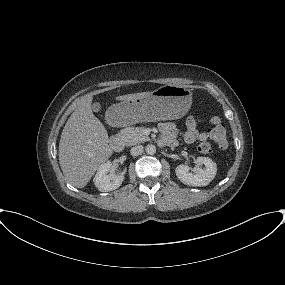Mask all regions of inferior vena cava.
Returning a JSON list of instances; mask_svg holds the SVG:
<instances>
[{
	"instance_id": "inferior-vena-cava-1",
	"label": "inferior vena cava",
	"mask_w": 285,
	"mask_h": 285,
	"mask_svg": "<svg viewBox=\"0 0 285 285\" xmlns=\"http://www.w3.org/2000/svg\"><path fill=\"white\" fill-rule=\"evenodd\" d=\"M130 152H131L132 156H138V155L142 154L143 146L142 145L134 146L131 148Z\"/></svg>"
}]
</instances>
